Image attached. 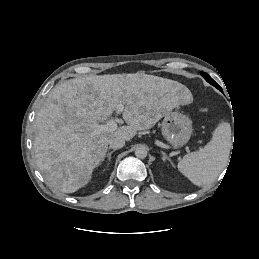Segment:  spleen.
<instances>
[{
	"label": "spleen",
	"instance_id": "1",
	"mask_svg": "<svg viewBox=\"0 0 259 259\" xmlns=\"http://www.w3.org/2000/svg\"><path fill=\"white\" fill-rule=\"evenodd\" d=\"M231 146L230 124L222 122L210 142L199 151L185 155L178 163V169L197 186L210 184L227 166Z\"/></svg>",
	"mask_w": 259,
	"mask_h": 259
}]
</instances>
